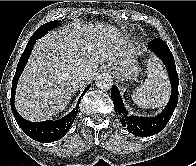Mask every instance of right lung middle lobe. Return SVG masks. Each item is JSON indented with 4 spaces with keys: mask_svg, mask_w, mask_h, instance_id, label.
<instances>
[{
    "mask_svg": "<svg viewBox=\"0 0 196 166\" xmlns=\"http://www.w3.org/2000/svg\"><path fill=\"white\" fill-rule=\"evenodd\" d=\"M58 24H59L58 21L55 20V21L47 22V23L44 24V25H41V26L35 31V33L32 35L31 38H37V39H39V38L43 37L45 34L48 33V31H50V30L56 28Z\"/></svg>",
    "mask_w": 196,
    "mask_h": 166,
    "instance_id": "right-lung-middle-lobe-1",
    "label": "right lung middle lobe"
}]
</instances>
